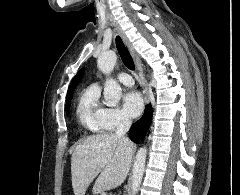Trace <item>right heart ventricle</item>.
<instances>
[{"label": "right heart ventricle", "mask_w": 240, "mask_h": 195, "mask_svg": "<svg viewBox=\"0 0 240 195\" xmlns=\"http://www.w3.org/2000/svg\"><path fill=\"white\" fill-rule=\"evenodd\" d=\"M105 110L98 86L91 85L83 92L77 106L80 125L93 136L105 137L103 131H110L105 120Z\"/></svg>", "instance_id": "e07e8e85"}]
</instances>
